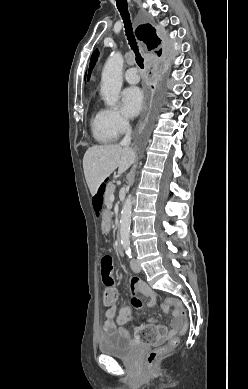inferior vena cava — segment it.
Returning <instances> with one entry per match:
<instances>
[{
    "label": "inferior vena cava",
    "mask_w": 248,
    "mask_h": 389,
    "mask_svg": "<svg viewBox=\"0 0 248 389\" xmlns=\"http://www.w3.org/2000/svg\"><path fill=\"white\" fill-rule=\"evenodd\" d=\"M131 133H132V129H131L129 123L126 122V124H125V136H124L123 140L120 143L121 146L128 147L130 145V143H131Z\"/></svg>",
    "instance_id": "602c4592"
}]
</instances>
